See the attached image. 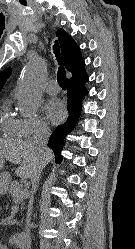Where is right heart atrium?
Listing matches in <instances>:
<instances>
[{"label": "right heart atrium", "mask_w": 135, "mask_h": 249, "mask_svg": "<svg viewBox=\"0 0 135 249\" xmlns=\"http://www.w3.org/2000/svg\"><path fill=\"white\" fill-rule=\"evenodd\" d=\"M17 122L20 130V136L23 138L44 135L48 133L49 130L45 121L38 116L17 119Z\"/></svg>", "instance_id": "right-heart-atrium-1"}]
</instances>
